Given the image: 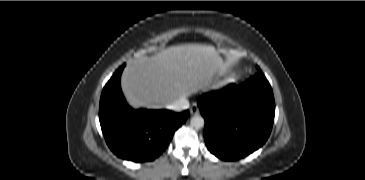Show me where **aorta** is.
<instances>
[{"instance_id":"1","label":"aorta","mask_w":365,"mask_h":180,"mask_svg":"<svg viewBox=\"0 0 365 180\" xmlns=\"http://www.w3.org/2000/svg\"><path fill=\"white\" fill-rule=\"evenodd\" d=\"M205 124L204 118L199 115H195L190 120V125L195 129H201Z\"/></svg>"}]
</instances>
